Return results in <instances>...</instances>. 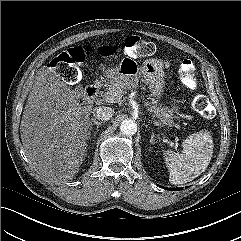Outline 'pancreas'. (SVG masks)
<instances>
[{
	"instance_id": "obj_1",
	"label": "pancreas",
	"mask_w": 241,
	"mask_h": 241,
	"mask_svg": "<svg viewBox=\"0 0 241 241\" xmlns=\"http://www.w3.org/2000/svg\"><path fill=\"white\" fill-rule=\"evenodd\" d=\"M115 93H119L122 97V94L124 93L122 87L120 86V84H115V83H111L110 85L107 86L106 88V92L104 94H115ZM151 108H154V106H152Z\"/></svg>"
}]
</instances>
